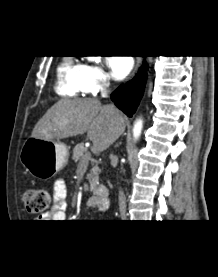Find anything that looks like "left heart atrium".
<instances>
[{
  "label": "left heart atrium",
  "instance_id": "obj_1",
  "mask_svg": "<svg viewBox=\"0 0 218 277\" xmlns=\"http://www.w3.org/2000/svg\"><path fill=\"white\" fill-rule=\"evenodd\" d=\"M107 63L112 76L117 80L124 78L132 68V61L126 57H109Z\"/></svg>",
  "mask_w": 218,
  "mask_h": 277
}]
</instances>
